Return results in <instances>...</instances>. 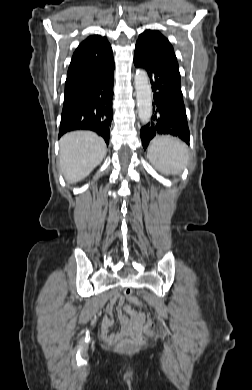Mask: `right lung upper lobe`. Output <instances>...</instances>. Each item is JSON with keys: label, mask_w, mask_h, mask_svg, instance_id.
I'll use <instances>...</instances> for the list:
<instances>
[{"label": "right lung upper lobe", "mask_w": 252, "mask_h": 390, "mask_svg": "<svg viewBox=\"0 0 252 390\" xmlns=\"http://www.w3.org/2000/svg\"><path fill=\"white\" fill-rule=\"evenodd\" d=\"M113 65V52L107 38L91 35L80 43L73 54L65 88L86 79L103 76Z\"/></svg>", "instance_id": "obj_1"}]
</instances>
